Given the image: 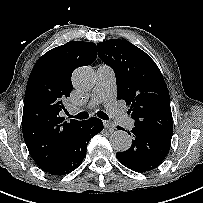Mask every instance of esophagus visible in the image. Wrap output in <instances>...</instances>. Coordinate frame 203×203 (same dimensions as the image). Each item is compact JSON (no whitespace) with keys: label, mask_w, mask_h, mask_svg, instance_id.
I'll return each instance as SVG.
<instances>
[{"label":"esophagus","mask_w":203,"mask_h":203,"mask_svg":"<svg viewBox=\"0 0 203 203\" xmlns=\"http://www.w3.org/2000/svg\"><path fill=\"white\" fill-rule=\"evenodd\" d=\"M103 125L105 128L109 129L110 131H113L115 129V125L109 121H103Z\"/></svg>","instance_id":"obj_1"}]
</instances>
